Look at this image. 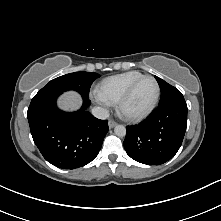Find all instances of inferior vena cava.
<instances>
[{
  "label": "inferior vena cava",
  "instance_id": "1",
  "mask_svg": "<svg viewBox=\"0 0 221 221\" xmlns=\"http://www.w3.org/2000/svg\"><path fill=\"white\" fill-rule=\"evenodd\" d=\"M92 114L98 119H107L109 117V111L103 107H94Z\"/></svg>",
  "mask_w": 221,
  "mask_h": 221
}]
</instances>
